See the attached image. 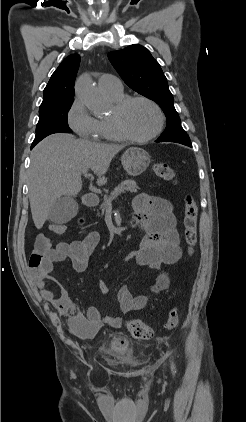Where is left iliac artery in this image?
Instances as JSON below:
<instances>
[{
	"instance_id": "44dca946",
	"label": "left iliac artery",
	"mask_w": 246,
	"mask_h": 422,
	"mask_svg": "<svg viewBox=\"0 0 246 422\" xmlns=\"http://www.w3.org/2000/svg\"><path fill=\"white\" fill-rule=\"evenodd\" d=\"M171 368L173 370V373H175L176 372V370H175V364L173 362H172Z\"/></svg>"
}]
</instances>
